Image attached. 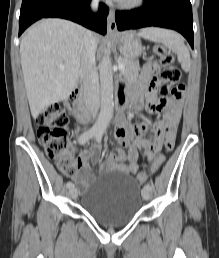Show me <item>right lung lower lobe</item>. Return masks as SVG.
I'll return each mask as SVG.
<instances>
[{"label": "right lung lower lobe", "instance_id": "right-lung-lower-lobe-1", "mask_svg": "<svg viewBox=\"0 0 219 258\" xmlns=\"http://www.w3.org/2000/svg\"><path fill=\"white\" fill-rule=\"evenodd\" d=\"M91 0H23L19 18V36L41 18L58 17L77 22L100 34H106L109 8L100 3L97 14L89 9Z\"/></svg>", "mask_w": 219, "mask_h": 258}]
</instances>
